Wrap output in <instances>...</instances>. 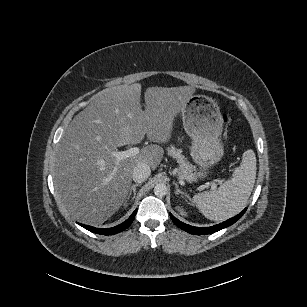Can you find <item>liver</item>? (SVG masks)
I'll list each match as a JSON object with an SVG mask.
<instances>
[{
    "instance_id": "6515ba94",
    "label": "liver",
    "mask_w": 307,
    "mask_h": 307,
    "mask_svg": "<svg viewBox=\"0 0 307 307\" xmlns=\"http://www.w3.org/2000/svg\"><path fill=\"white\" fill-rule=\"evenodd\" d=\"M141 84L103 89L67 127L54 157L52 171L58 203L78 221L99 225L126 201L133 169L139 162L155 169L164 150L143 147L116 164L113 152L141 143L171 139L175 117L195 93L193 86L148 87L141 108ZM112 177L109 182L106 178Z\"/></svg>"
}]
</instances>
